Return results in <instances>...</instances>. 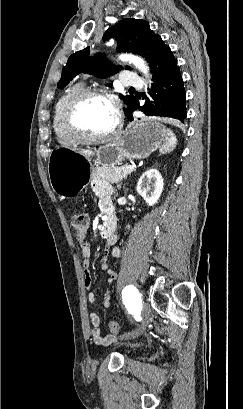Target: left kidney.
<instances>
[{
	"mask_svg": "<svg viewBox=\"0 0 243 409\" xmlns=\"http://www.w3.org/2000/svg\"><path fill=\"white\" fill-rule=\"evenodd\" d=\"M163 186V178L159 171L150 169L139 178L136 190L149 206H153L158 202Z\"/></svg>",
	"mask_w": 243,
	"mask_h": 409,
	"instance_id": "obj_1",
	"label": "left kidney"
}]
</instances>
